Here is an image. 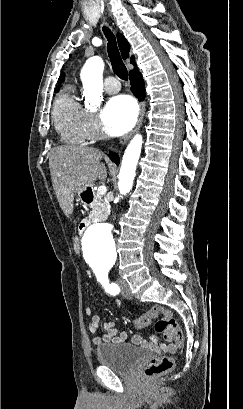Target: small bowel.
Instances as JSON below:
<instances>
[{
    "instance_id": "c3829d8e",
    "label": "small bowel",
    "mask_w": 243,
    "mask_h": 409,
    "mask_svg": "<svg viewBox=\"0 0 243 409\" xmlns=\"http://www.w3.org/2000/svg\"><path fill=\"white\" fill-rule=\"evenodd\" d=\"M87 315H92L91 322L89 324V331L92 334H96L99 330L103 329L104 333L102 335H96L93 338V343L96 345H100L102 343H125L127 342L128 335L125 331L119 332L118 329L115 327L114 322L109 321L105 323H101L100 316L97 314L93 315V310L91 307H87L85 309ZM170 341L169 344H159L158 340L155 336H151L148 341L143 340L139 335H134L132 337V342L136 345H141L145 348L153 350L157 353H174L176 352L178 345L173 338L167 339Z\"/></svg>"
}]
</instances>
